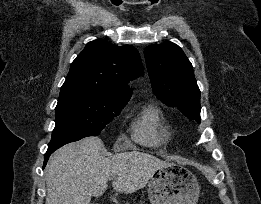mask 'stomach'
<instances>
[{
  "instance_id": "1",
  "label": "stomach",
  "mask_w": 261,
  "mask_h": 204,
  "mask_svg": "<svg viewBox=\"0 0 261 204\" xmlns=\"http://www.w3.org/2000/svg\"><path fill=\"white\" fill-rule=\"evenodd\" d=\"M199 193L195 175L176 163L158 168L148 184L151 204H196Z\"/></svg>"
}]
</instances>
